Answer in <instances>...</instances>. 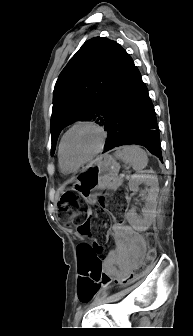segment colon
<instances>
[{"label":"colon","instance_id":"5ec220e1","mask_svg":"<svg viewBox=\"0 0 193 336\" xmlns=\"http://www.w3.org/2000/svg\"><path fill=\"white\" fill-rule=\"evenodd\" d=\"M84 204L79 200L74 192H65L60 201V210L67 214L65 224L67 226H77L78 232L83 237L94 236V241L90 246H82L78 250L79 268L81 272L89 274V281L96 285L105 284L108 281V275L103 266V256L105 250L111 245V239L107 233L110 214L121 213L124 209L120 203H109L104 196L99 197L98 204L91 210L83 209ZM86 215L82 219L83 215ZM156 255V244L152 237L148 238L147 258L154 259ZM137 276V270H134L123 283L134 279ZM82 301H86L88 293L85 289L80 291Z\"/></svg>","mask_w":193,"mask_h":336}]
</instances>
